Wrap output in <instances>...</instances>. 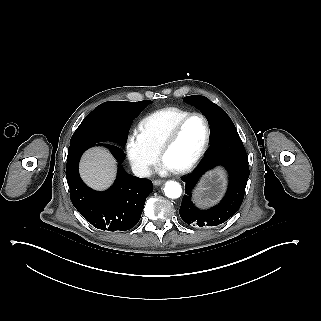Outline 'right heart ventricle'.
<instances>
[{
    "label": "right heart ventricle",
    "instance_id": "right-heart-ventricle-1",
    "mask_svg": "<svg viewBox=\"0 0 321 321\" xmlns=\"http://www.w3.org/2000/svg\"><path fill=\"white\" fill-rule=\"evenodd\" d=\"M191 111L177 106L161 108L146 115L139 123V130L147 142L159 152V147L170 128Z\"/></svg>",
    "mask_w": 321,
    "mask_h": 321
}]
</instances>
